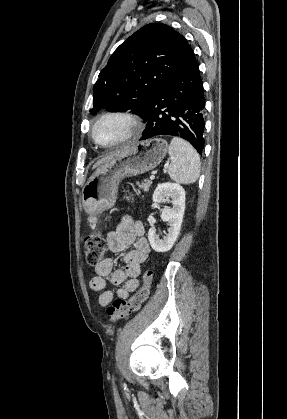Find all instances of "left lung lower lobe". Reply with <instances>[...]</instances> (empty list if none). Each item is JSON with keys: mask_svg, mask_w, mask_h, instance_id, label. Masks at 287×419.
Instances as JSON below:
<instances>
[{"mask_svg": "<svg viewBox=\"0 0 287 419\" xmlns=\"http://www.w3.org/2000/svg\"><path fill=\"white\" fill-rule=\"evenodd\" d=\"M205 107L203 83L197 61L165 84L152 98L140 140L159 135L189 141L199 154L204 148Z\"/></svg>", "mask_w": 287, "mask_h": 419, "instance_id": "1", "label": "left lung lower lobe"}]
</instances>
